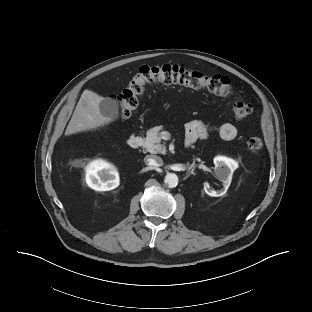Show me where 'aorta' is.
Wrapping results in <instances>:
<instances>
[{"label": "aorta", "mask_w": 312, "mask_h": 312, "mask_svg": "<svg viewBox=\"0 0 312 312\" xmlns=\"http://www.w3.org/2000/svg\"><path fill=\"white\" fill-rule=\"evenodd\" d=\"M164 182L169 188H174L178 184V176L175 173H168L165 176Z\"/></svg>", "instance_id": "762f6f07"}]
</instances>
